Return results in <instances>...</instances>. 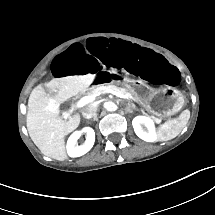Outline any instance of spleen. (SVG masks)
I'll return each instance as SVG.
<instances>
[{"instance_id":"3e777b00","label":"spleen","mask_w":215,"mask_h":215,"mask_svg":"<svg viewBox=\"0 0 215 215\" xmlns=\"http://www.w3.org/2000/svg\"><path fill=\"white\" fill-rule=\"evenodd\" d=\"M185 125L186 121H184L181 116L166 121L158 130V139L160 141H167L175 138Z\"/></svg>"}]
</instances>
